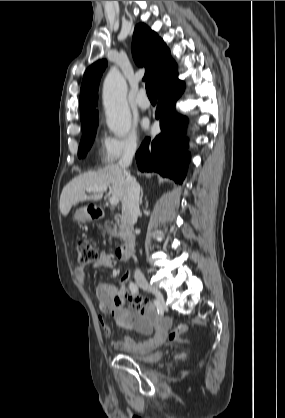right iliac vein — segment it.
<instances>
[{
	"label": "right iliac vein",
	"mask_w": 285,
	"mask_h": 418,
	"mask_svg": "<svg viewBox=\"0 0 285 418\" xmlns=\"http://www.w3.org/2000/svg\"><path fill=\"white\" fill-rule=\"evenodd\" d=\"M136 282L142 289L154 294L160 302H163V295L161 291L154 285L150 284L143 275L137 276Z\"/></svg>",
	"instance_id": "right-iliac-vein-1"
}]
</instances>
